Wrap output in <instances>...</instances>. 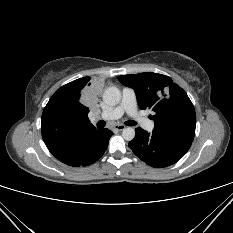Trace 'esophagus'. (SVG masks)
<instances>
[{
	"label": "esophagus",
	"instance_id": "34e87169",
	"mask_svg": "<svg viewBox=\"0 0 233 233\" xmlns=\"http://www.w3.org/2000/svg\"><path fill=\"white\" fill-rule=\"evenodd\" d=\"M126 128L125 125H122V124H117L113 127V129L117 130V131H122Z\"/></svg>",
	"mask_w": 233,
	"mask_h": 233
}]
</instances>
